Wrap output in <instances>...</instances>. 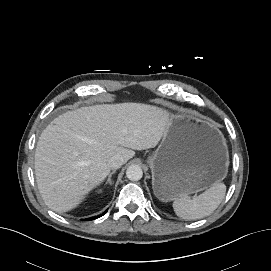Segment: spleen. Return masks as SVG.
<instances>
[{
	"mask_svg": "<svg viewBox=\"0 0 271 271\" xmlns=\"http://www.w3.org/2000/svg\"><path fill=\"white\" fill-rule=\"evenodd\" d=\"M226 185L214 183L209 189L198 196L190 198L183 193L173 202V209L177 216L185 220L204 218L213 213L225 197Z\"/></svg>",
	"mask_w": 271,
	"mask_h": 271,
	"instance_id": "1",
	"label": "spleen"
}]
</instances>
